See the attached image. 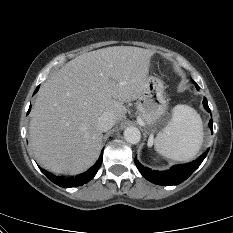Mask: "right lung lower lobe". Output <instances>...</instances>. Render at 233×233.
I'll return each mask as SVG.
<instances>
[{
	"mask_svg": "<svg viewBox=\"0 0 233 233\" xmlns=\"http://www.w3.org/2000/svg\"><path fill=\"white\" fill-rule=\"evenodd\" d=\"M39 86L36 88L34 94L38 91ZM31 108V107H30ZM30 108L28 110V113L30 111ZM102 159H103V152L101 153L99 160L97 161V163L91 168L89 169L87 172L80 174L79 176L76 177H60V176H55L52 173H49L43 169H41V171L55 184L64 187V188H69V187H76V186H80L83 185L87 182H89L97 173L101 163H102Z\"/></svg>",
	"mask_w": 233,
	"mask_h": 233,
	"instance_id": "right-lung-lower-lobe-1",
	"label": "right lung lower lobe"
}]
</instances>
